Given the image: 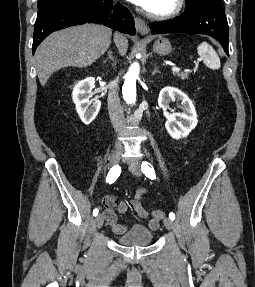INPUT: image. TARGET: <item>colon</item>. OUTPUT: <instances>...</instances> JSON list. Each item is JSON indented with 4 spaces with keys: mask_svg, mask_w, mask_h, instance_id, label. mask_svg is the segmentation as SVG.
<instances>
[{
    "mask_svg": "<svg viewBox=\"0 0 255 287\" xmlns=\"http://www.w3.org/2000/svg\"><path fill=\"white\" fill-rule=\"evenodd\" d=\"M152 215L155 219H162L165 216V213L161 210H153Z\"/></svg>",
    "mask_w": 255,
    "mask_h": 287,
    "instance_id": "5ec220e1",
    "label": "colon"
}]
</instances>
